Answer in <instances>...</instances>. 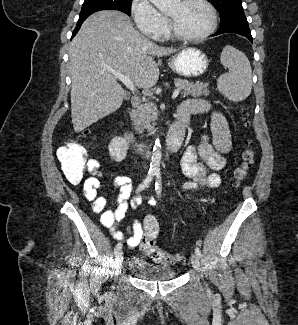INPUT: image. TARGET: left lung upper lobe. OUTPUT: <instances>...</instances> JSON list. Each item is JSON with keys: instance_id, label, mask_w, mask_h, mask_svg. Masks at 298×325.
<instances>
[{"instance_id": "1", "label": "left lung upper lobe", "mask_w": 298, "mask_h": 325, "mask_svg": "<svg viewBox=\"0 0 298 325\" xmlns=\"http://www.w3.org/2000/svg\"><path fill=\"white\" fill-rule=\"evenodd\" d=\"M220 13V24L244 16L241 0H211Z\"/></svg>"}]
</instances>
